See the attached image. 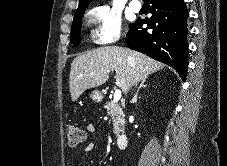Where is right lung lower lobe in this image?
<instances>
[{
    "label": "right lung lower lobe",
    "mask_w": 227,
    "mask_h": 166,
    "mask_svg": "<svg viewBox=\"0 0 227 166\" xmlns=\"http://www.w3.org/2000/svg\"><path fill=\"white\" fill-rule=\"evenodd\" d=\"M152 16L140 18L126 36L129 48L176 69L185 79L188 66L187 17L183 0H145ZM147 24L146 28H142ZM149 30V32H147Z\"/></svg>",
    "instance_id": "1"
}]
</instances>
